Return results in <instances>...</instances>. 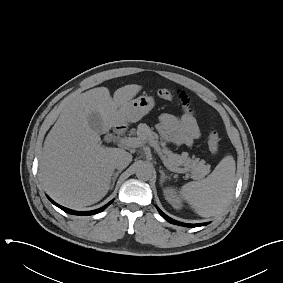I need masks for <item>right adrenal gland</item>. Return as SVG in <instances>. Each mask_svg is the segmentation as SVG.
Returning a JSON list of instances; mask_svg holds the SVG:
<instances>
[{
    "instance_id": "2a0ac1e0",
    "label": "right adrenal gland",
    "mask_w": 283,
    "mask_h": 283,
    "mask_svg": "<svg viewBox=\"0 0 283 283\" xmlns=\"http://www.w3.org/2000/svg\"><path fill=\"white\" fill-rule=\"evenodd\" d=\"M122 171L121 170H118L117 172H115L112 176V184H111V189H113L114 185H115V182H116V179L117 177L119 176V174L121 173Z\"/></svg>"
}]
</instances>
